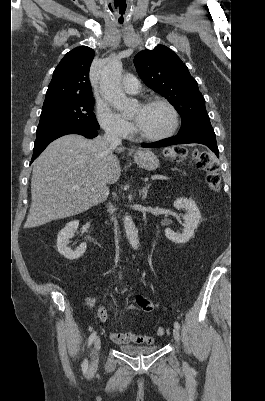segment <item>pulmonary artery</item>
Masks as SVG:
<instances>
[{
    "instance_id": "e3ab8cb5",
    "label": "pulmonary artery",
    "mask_w": 265,
    "mask_h": 401,
    "mask_svg": "<svg viewBox=\"0 0 265 401\" xmlns=\"http://www.w3.org/2000/svg\"><path fill=\"white\" fill-rule=\"evenodd\" d=\"M123 89L127 95H134L138 91L137 76L125 75L123 82Z\"/></svg>"
}]
</instances>
